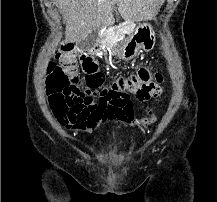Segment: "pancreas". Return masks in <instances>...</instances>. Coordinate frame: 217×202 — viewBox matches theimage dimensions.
<instances>
[{
  "label": "pancreas",
  "mask_w": 217,
  "mask_h": 202,
  "mask_svg": "<svg viewBox=\"0 0 217 202\" xmlns=\"http://www.w3.org/2000/svg\"><path fill=\"white\" fill-rule=\"evenodd\" d=\"M124 26V27H123ZM135 26L134 24L130 21V22H121L119 25H116L115 29L116 33H132V30H134Z\"/></svg>",
  "instance_id": "cf45deb5"
}]
</instances>
